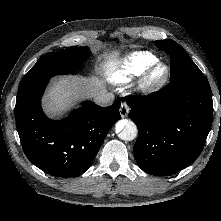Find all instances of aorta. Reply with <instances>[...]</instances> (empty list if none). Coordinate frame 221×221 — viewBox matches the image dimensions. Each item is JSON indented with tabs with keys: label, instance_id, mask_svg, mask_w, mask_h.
Instances as JSON below:
<instances>
[{
	"label": "aorta",
	"instance_id": "obj_1",
	"mask_svg": "<svg viewBox=\"0 0 221 221\" xmlns=\"http://www.w3.org/2000/svg\"><path fill=\"white\" fill-rule=\"evenodd\" d=\"M116 133L121 140L132 141L137 137L138 130L134 122L130 120H120L116 124Z\"/></svg>",
	"mask_w": 221,
	"mask_h": 221
}]
</instances>
